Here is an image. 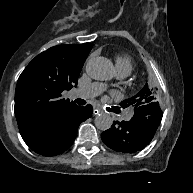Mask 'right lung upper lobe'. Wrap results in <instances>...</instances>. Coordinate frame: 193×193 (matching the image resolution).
I'll return each mask as SVG.
<instances>
[{"instance_id": "right-lung-upper-lobe-1", "label": "right lung upper lobe", "mask_w": 193, "mask_h": 193, "mask_svg": "<svg viewBox=\"0 0 193 193\" xmlns=\"http://www.w3.org/2000/svg\"><path fill=\"white\" fill-rule=\"evenodd\" d=\"M90 43L59 45L36 56L20 75L15 115L21 136L48 133L78 106L61 98L77 84Z\"/></svg>"}]
</instances>
